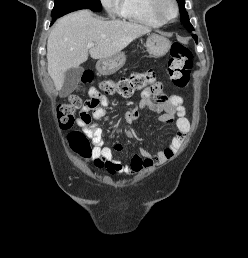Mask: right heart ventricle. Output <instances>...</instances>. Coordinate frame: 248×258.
Instances as JSON below:
<instances>
[{
    "label": "right heart ventricle",
    "instance_id": "e07e8e85",
    "mask_svg": "<svg viewBox=\"0 0 248 258\" xmlns=\"http://www.w3.org/2000/svg\"><path fill=\"white\" fill-rule=\"evenodd\" d=\"M151 0H122L121 16L131 22L149 27L163 25L151 12Z\"/></svg>",
    "mask_w": 248,
    "mask_h": 258
}]
</instances>
